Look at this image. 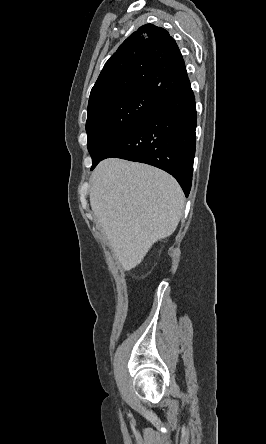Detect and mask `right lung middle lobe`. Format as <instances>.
Returning <instances> with one entry per match:
<instances>
[{"mask_svg": "<svg viewBox=\"0 0 266 444\" xmlns=\"http://www.w3.org/2000/svg\"><path fill=\"white\" fill-rule=\"evenodd\" d=\"M160 102L154 94L135 91L104 100L88 109L86 132L93 161L91 170L113 143L139 125Z\"/></svg>", "mask_w": 266, "mask_h": 444, "instance_id": "1", "label": "right lung middle lobe"}]
</instances>
